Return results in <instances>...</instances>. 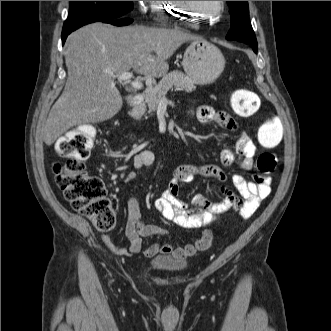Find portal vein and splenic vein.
<instances>
[{
    "label": "portal vein and splenic vein",
    "instance_id": "1",
    "mask_svg": "<svg viewBox=\"0 0 331 331\" xmlns=\"http://www.w3.org/2000/svg\"><path fill=\"white\" fill-rule=\"evenodd\" d=\"M133 77V73L132 72H124L120 75H117V76H113V78H117L118 80L120 81H123V82H129V80ZM130 85L136 89V90H140L142 89L143 85L142 83L139 81V80H134V81H131L130 82Z\"/></svg>",
    "mask_w": 331,
    "mask_h": 331
}]
</instances>
